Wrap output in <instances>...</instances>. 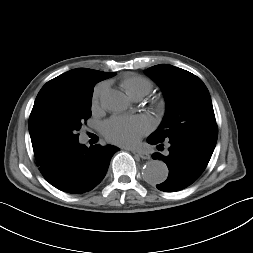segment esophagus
Returning a JSON list of instances; mask_svg holds the SVG:
<instances>
[{
    "label": "esophagus",
    "mask_w": 253,
    "mask_h": 253,
    "mask_svg": "<svg viewBox=\"0 0 253 253\" xmlns=\"http://www.w3.org/2000/svg\"><path fill=\"white\" fill-rule=\"evenodd\" d=\"M132 153L135 155V156H138L142 159H149V154L143 150H139V149H134L132 150Z\"/></svg>",
    "instance_id": "esophagus-1"
}]
</instances>
